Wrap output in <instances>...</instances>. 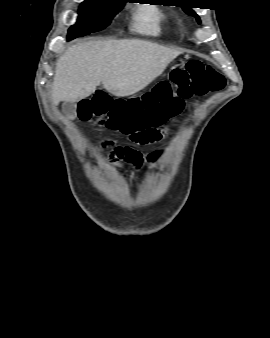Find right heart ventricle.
Masks as SVG:
<instances>
[{"instance_id": "right-heart-ventricle-1", "label": "right heart ventricle", "mask_w": 270, "mask_h": 338, "mask_svg": "<svg viewBox=\"0 0 270 338\" xmlns=\"http://www.w3.org/2000/svg\"><path fill=\"white\" fill-rule=\"evenodd\" d=\"M167 22V13L158 5L145 4L138 9L136 29L143 34L159 36Z\"/></svg>"}]
</instances>
